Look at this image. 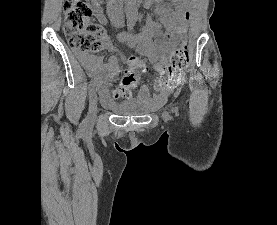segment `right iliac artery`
<instances>
[{
  "mask_svg": "<svg viewBox=\"0 0 277 225\" xmlns=\"http://www.w3.org/2000/svg\"><path fill=\"white\" fill-rule=\"evenodd\" d=\"M134 25H135L134 21H129V23L127 25L128 26V31H131L133 29ZM93 92H94V86L92 84H90L88 86V93H89V95H91Z\"/></svg>",
  "mask_w": 277,
  "mask_h": 225,
  "instance_id": "right-iliac-artery-1",
  "label": "right iliac artery"
}]
</instances>
